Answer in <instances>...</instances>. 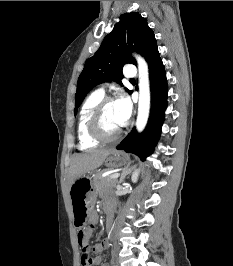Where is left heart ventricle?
<instances>
[{
	"label": "left heart ventricle",
	"mask_w": 233,
	"mask_h": 266,
	"mask_svg": "<svg viewBox=\"0 0 233 266\" xmlns=\"http://www.w3.org/2000/svg\"><path fill=\"white\" fill-rule=\"evenodd\" d=\"M115 102L106 105L102 116V128L107 134H112L120 128Z\"/></svg>",
	"instance_id": "left-heart-ventricle-1"
}]
</instances>
